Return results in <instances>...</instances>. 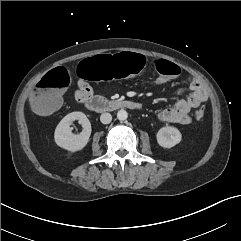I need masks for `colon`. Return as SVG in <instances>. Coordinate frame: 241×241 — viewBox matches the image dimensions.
<instances>
[{"label": "colon", "instance_id": "5ec220e1", "mask_svg": "<svg viewBox=\"0 0 241 241\" xmlns=\"http://www.w3.org/2000/svg\"><path fill=\"white\" fill-rule=\"evenodd\" d=\"M145 65L143 57L136 52H112L80 61L76 66V73L82 79L124 78L139 74ZM154 67L162 81L176 77L180 71L176 64L162 59L155 61ZM69 83V72L64 67H57L42 76L30 98L32 108L41 114L51 113L61 103L62 94ZM204 116V108L195 112L198 120H202Z\"/></svg>", "mask_w": 241, "mask_h": 241}]
</instances>
